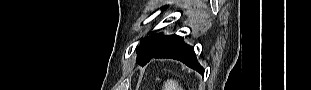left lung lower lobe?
I'll return each mask as SVG.
<instances>
[{"instance_id": "0a47b994", "label": "left lung lower lobe", "mask_w": 311, "mask_h": 90, "mask_svg": "<svg viewBox=\"0 0 311 90\" xmlns=\"http://www.w3.org/2000/svg\"><path fill=\"white\" fill-rule=\"evenodd\" d=\"M152 58H171L185 63L192 69L204 73V69L198 64L194 49L183 42V38L177 35L165 37L152 51L146 60L140 65L147 64Z\"/></svg>"}]
</instances>
